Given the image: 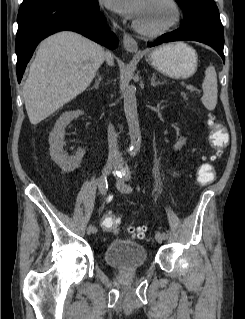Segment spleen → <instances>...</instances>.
<instances>
[{"label": "spleen", "mask_w": 245, "mask_h": 319, "mask_svg": "<svg viewBox=\"0 0 245 319\" xmlns=\"http://www.w3.org/2000/svg\"><path fill=\"white\" fill-rule=\"evenodd\" d=\"M203 96L201 101L208 110H214L217 104V74L215 68L210 65L205 70V78L202 83Z\"/></svg>", "instance_id": "obj_1"}]
</instances>
